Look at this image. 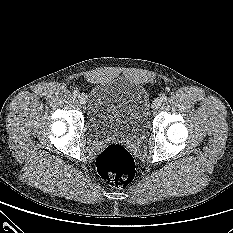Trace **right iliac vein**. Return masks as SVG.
I'll return each instance as SVG.
<instances>
[{
  "mask_svg": "<svg viewBox=\"0 0 233 233\" xmlns=\"http://www.w3.org/2000/svg\"><path fill=\"white\" fill-rule=\"evenodd\" d=\"M78 99H79L81 104H86V102H87V96L83 93L79 94Z\"/></svg>",
  "mask_w": 233,
  "mask_h": 233,
  "instance_id": "1",
  "label": "right iliac vein"
}]
</instances>
